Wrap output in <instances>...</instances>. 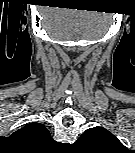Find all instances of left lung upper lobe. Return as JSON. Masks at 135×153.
<instances>
[{
    "label": "left lung upper lobe",
    "instance_id": "5c2ea615",
    "mask_svg": "<svg viewBox=\"0 0 135 153\" xmlns=\"http://www.w3.org/2000/svg\"><path fill=\"white\" fill-rule=\"evenodd\" d=\"M89 153H122L125 146L103 127L87 129L75 143Z\"/></svg>",
    "mask_w": 135,
    "mask_h": 153
}]
</instances>
